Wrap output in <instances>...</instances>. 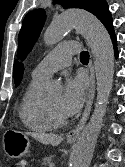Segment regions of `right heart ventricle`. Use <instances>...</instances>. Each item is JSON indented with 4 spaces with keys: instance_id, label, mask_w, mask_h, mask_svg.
Wrapping results in <instances>:
<instances>
[{
    "instance_id": "obj_1",
    "label": "right heart ventricle",
    "mask_w": 125,
    "mask_h": 167,
    "mask_svg": "<svg viewBox=\"0 0 125 167\" xmlns=\"http://www.w3.org/2000/svg\"><path fill=\"white\" fill-rule=\"evenodd\" d=\"M44 81L32 77L18 107V116L21 123L27 129L36 133H47L55 128L46 113L44 98L41 94Z\"/></svg>"
}]
</instances>
